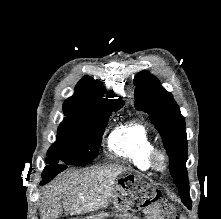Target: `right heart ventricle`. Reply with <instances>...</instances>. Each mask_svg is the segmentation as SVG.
Segmentation results:
<instances>
[{"mask_svg": "<svg viewBox=\"0 0 221 219\" xmlns=\"http://www.w3.org/2000/svg\"><path fill=\"white\" fill-rule=\"evenodd\" d=\"M108 147L115 155L126 159L142 171L151 168L149 155L155 149V143L143 121H132L113 131Z\"/></svg>", "mask_w": 221, "mask_h": 219, "instance_id": "right-heart-ventricle-1", "label": "right heart ventricle"}]
</instances>
